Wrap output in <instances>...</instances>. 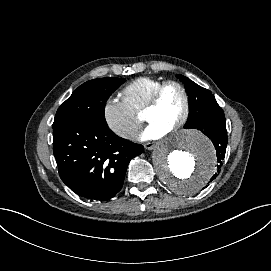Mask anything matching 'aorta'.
<instances>
[{"label":"aorta","mask_w":271,"mask_h":271,"mask_svg":"<svg viewBox=\"0 0 271 271\" xmlns=\"http://www.w3.org/2000/svg\"><path fill=\"white\" fill-rule=\"evenodd\" d=\"M153 167L176 194L199 192L216 169V155L202 133L181 130L162 140L153 150Z\"/></svg>","instance_id":"aorta-1"}]
</instances>
